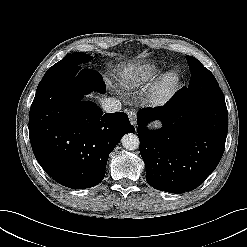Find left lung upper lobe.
Instances as JSON below:
<instances>
[{
    "label": "left lung upper lobe",
    "instance_id": "5c2ea615",
    "mask_svg": "<svg viewBox=\"0 0 247 247\" xmlns=\"http://www.w3.org/2000/svg\"><path fill=\"white\" fill-rule=\"evenodd\" d=\"M186 59L191 71L190 81L201 75L203 70H206V68L196 58L192 56H186Z\"/></svg>",
    "mask_w": 247,
    "mask_h": 247
}]
</instances>
